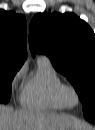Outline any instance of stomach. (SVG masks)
<instances>
[{
    "instance_id": "0dacf381",
    "label": "stomach",
    "mask_w": 95,
    "mask_h": 130,
    "mask_svg": "<svg viewBox=\"0 0 95 130\" xmlns=\"http://www.w3.org/2000/svg\"><path fill=\"white\" fill-rule=\"evenodd\" d=\"M66 130H82V129L81 128H76V127H70V128H68Z\"/></svg>"
}]
</instances>
